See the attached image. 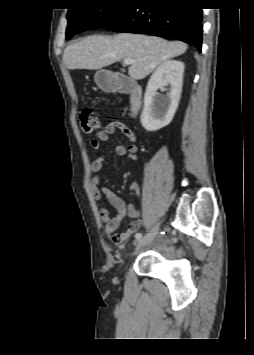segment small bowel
Here are the masks:
<instances>
[{
  "mask_svg": "<svg viewBox=\"0 0 254 355\" xmlns=\"http://www.w3.org/2000/svg\"><path fill=\"white\" fill-rule=\"evenodd\" d=\"M120 131L129 141L128 145H117L115 147V153L118 156H124L128 159L134 161L137 159V145L136 136L134 132L123 122L113 120L106 124V126L100 130L96 137L90 142L93 150H100L101 143L107 141L110 136ZM105 160L103 157H98L92 163L91 169L95 174L91 180V192L92 197L96 202H100L102 196H105L110 205H112L116 211L117 215L112 217L109 210L106 207H101L99 209V216L104 223L105 233L109 236L111 241L115 244H121L129 239V237L138 232L141 228L142 222V212L137 209L132 203L127 204L121 196L113 192L111 189L104 187L101 183V179L98 173L104 166ZM130 195L133 199H139L140 197V187L138 183L134 182L129 188ZM131 218L132 222L129 224L127 231L122 233H117L118 228L121 223L127 218Z\"/></svg>",
  "mask_w": 254,
  "mask_h": 355,
  "instance_id": "obj_1",
  "label": "small bowel"
}]
</instances>
